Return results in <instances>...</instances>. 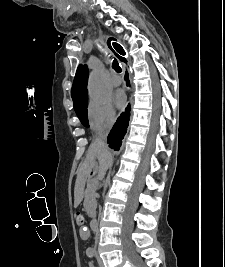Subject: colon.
Returning <instances> with one entry per match:
<instances>
[{
    "mask_svg": "<svg viewBox=\"0 0 225 267\" xmlns=\"http://www.w3.org/2000/svg\"><path fill=\"white\" fill-rule=\"evenodd\" d=\"M75 222L77 226L82 227L84 224V217L80 213H77L75 217Z\"/></svg>",
    "mask_w": 225,
    "mask_h": 267,
    "instance_id": "obj_1",
    "label": "colon"
}]
</instances>
